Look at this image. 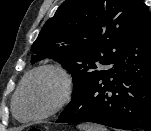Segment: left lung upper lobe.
Wrapping results in <instances>:
<instances>
[{
    "label": "left lung upper lobe",
    "mask_w": 151,
    "mask_h": 131,
    "mask_svg": "<svg viewBox=\"0 0 151 131\" xmlns=\"http://www.w3.org/2000/svg\"><path fill=\"white\" fill-rule=\"evenodd\" d=\"M142 0H65L33 43L31 62L46 57L73 76L72 98L117 63L127 49Z\"/></svg>",
    "instance_id": "5c2ea615"
}]
</instances>
